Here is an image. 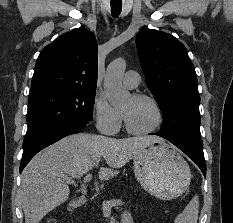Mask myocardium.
<instances>
[{
    "label": "myocardium",
    "instance_id": "myocardium-1",
    "mask_svg": "<svg viewBox=\"0 0 233 223\" xmlns=\"http://www.w3.org/2000/svg\"><path fill=\"white\" fill-rule=\"evenodd\" d=\"M131 97L134 99L146 100V101L150 102L154 106V108L157 112L158 123L153 129H151L149 131L138 132V131L133 130L128 125L125 117L121 114L123 124H124L125 130L127 131V133L132 135V136H136V137H144V136L152 135V134L158 132L163 127L164 121H165L163 109H162L161 105L158 103V101L155 98H153L152 96H149L146 94H141V93L133 94Z\"/></svg>",
    "mask_w": 233,
    "mask_h": 223
}]
</instances>
